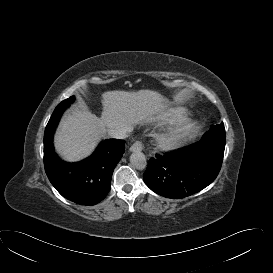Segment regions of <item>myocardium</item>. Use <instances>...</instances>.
<instances>
[{
  "label": "myocardium",
  "instance_id": "1",
  "mask_svg": "<svg viewBox=\"0 0 273 273\" xmlns=\"http://www.w3.org/2000/svg\"><path fill=\"white\" fill-rule=\"evenodd\" d=\"M197 132L198 122L189 120L160 132L155 138L156 145L163 151L175 150L191 140Z\"/></svg>",
  "mask_w": 273,
  "mask_h": 273
}]
</instances>
